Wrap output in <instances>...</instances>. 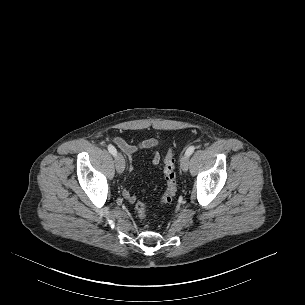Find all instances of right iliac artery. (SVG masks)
<instances>
[{
  "instance_id": "obj_1",
  "label": "right iliac artery",
  "mask_w": 305,
  "mask_h": 305,
  "mask_svg": "<svg viewBox=\"0 0 305 305\" xmlns=\"http://www.w3.org/2000/svg\"><path fill=\"white\" fill-rule=\"evenodd\" d=\"M108 150H109V152H110L113 156H116V155H117V150H116V148H115L113 145L109 144V145H108Z\"/></svg>"
}]
</instances>
